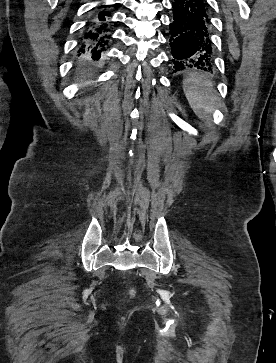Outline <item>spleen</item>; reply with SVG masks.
Wrapping results in <instances>:
<instances>
[{
  "label": "spleen",
  "instance_id": "obj_1",
  "mask_svg": "<svg viewBox=\"0 0 276 363\" xmlns=\"http://www.w3.org/2000/svg\"><path fill=\"white\" fill-rule=\"evenodd\" d=\"M214 84L206 74L190 72L183 79V90L194 113L202 120H209L217 105Z\"/></svg>",
  "mask_w": 276,
  "mask_h": 363
}]
</instances>
